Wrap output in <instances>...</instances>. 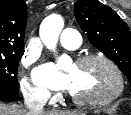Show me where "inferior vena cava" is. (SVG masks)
Masks as SVG:
<instances>
[{
    "instance_id": "602c4592",
    "label": "inferior vena cava",
    "mask_w": 131,
    "mask_h": 115,
    "mask_svg": "<svg viewBox=\"0 0 131 115\" xmlns=\"http://www.w3.org/2000/svg\"><path fill=\"white\" fill-rule=\"evenodd\" d=\"M47 100V97L44 95L24 94V105L29 109L32 115L42 114L44 112L43 107Z\"/></svg>"
}]
</instances>
